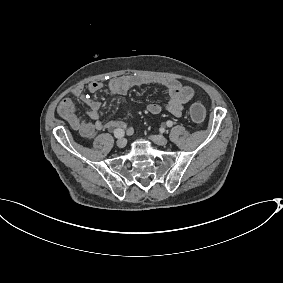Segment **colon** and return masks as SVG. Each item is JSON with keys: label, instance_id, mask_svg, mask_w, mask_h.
I'll list each match as a JSON object with an SVG mask.
<instances>
[{"label": "colon", "instance_id": "1", "mask_svg": "<svg viewBox=\"0 0 283 283\" xmlns=\"http://www.w3.org/2000/svg\"><path fill=\"white\" fill-rule=\"evenodd\" d=\"M189 113L195 122H201L206 116L205 107L201 103H193L190 106Z\"/></svg>", "mask_w": 283, "mask_h": 283}]
</instances>
